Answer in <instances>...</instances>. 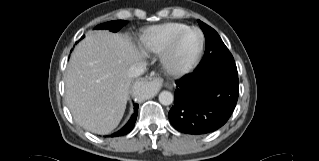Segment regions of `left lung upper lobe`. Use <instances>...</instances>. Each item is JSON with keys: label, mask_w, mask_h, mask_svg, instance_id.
<instances>
[{"label": "left lung upper lobe", "mask_w": 319, "mask_h": 161, "mask_svg": "<svg viewBox=\"0 0 319 161\" xmlns=\"http://www.w3.org/2000/svg\"><path fill=\"white\" fill-rule=\"evenodd\" d=\"M198 23L205 35L206 48L204 57L195 72L210 69L237 72L234 58L218 33L202 21L198 20Z\"/></svg>", "instance_id": "5c2ea615"}]
</instances>
